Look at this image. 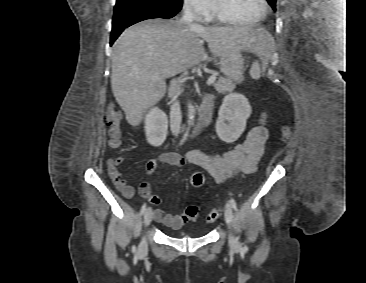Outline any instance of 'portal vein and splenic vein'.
I'll return each mask as SVG.
<instances>
[{
    "instance_id": "portal-vein-and-splenic-vein-1",
    "label": "portal vein and splenic vein",
    "mask_w": 366,
    "mask_h": 283,
    "mask_svg": "<svg viewBox=\"0 0 366 283\" xmlns=\"http://www.w3.org/2000/svg\"><path fill=\"white\" fill-rule=\"evenodd\" d=\"M216 81V76L215 75H211L208 80H207V85H211Z\"/></svg>"
}]
</instances>
